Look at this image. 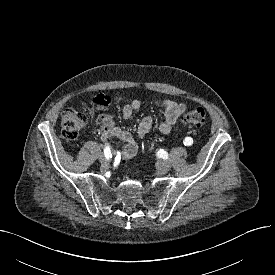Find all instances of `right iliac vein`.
<instances>
[{
	"label": "right iliac vein",
	"instance_id": "right-iliac-vein-1",
	"mask_svg": "<svg viewBox=\"0 0 275 275\" xmlns=\"http://www.w3.org/2000/svg\"><path fill=\"white\" fill-rule=\"evenodd\" d=\"M99 161L102 163L103 166H108L109 165V160L106 159L102 154L99 155Z\"/></svg>",
	"mask_w": 275,
	"mask_h": 275
}]
</instances>
